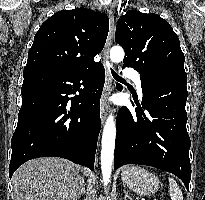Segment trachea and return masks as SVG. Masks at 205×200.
I'll return each instance as SVG.
<instances>
[{
  "label": "trachea",
  "instance_id": "1",
  "mask_svg": "<svg viewBox=\"0 0 205 200\" xmlns=\"http://www.w3.org/2000/svg\"><path fill=\"white\" fill-rule=\"evenodd\" d=\"M111 72H112L113 77H114L117 81L126 82L124 79H122L120 76H118V75L115 73V71H113L112 69H111Z\"/></svg>",
  "mask_w": 205,
  "mask_h": 200
}]
</instances>
